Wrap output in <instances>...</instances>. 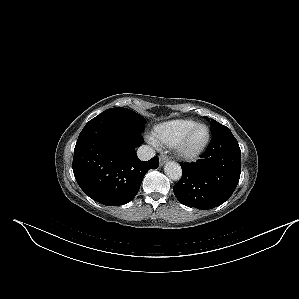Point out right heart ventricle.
Instances as JSON below:
<instances>
[{
  "label": "right heart ventricle",
  "mask_w": 299,
  "mask_h": 299,
  "mask_svg": "<svg viewBox=\"0 0 299 299\" xmlns=\"http://www.w3.org/2000/svg\"><path fill=\"white\" fill-rule=\"evenodd\" d=\"M195 124L191 119H174L156 125L152 131V141L160 146H174Z\"/></svg>",
  "instance_id": "obj_1"
}]
</instances>
